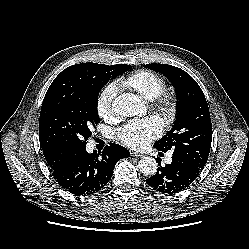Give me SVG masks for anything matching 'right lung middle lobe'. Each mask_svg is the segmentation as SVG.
Instances as JSON below:
<instances>
[{
  "label": "right lung middle lobe",
  "instance_id": "obj_1",
  "mask_svg": "<svg viewBox=\"0 0 249 249\" xmlns=\"http://www.w3.org/2000/svg\"><path fill=\"white\" fill-rule=\"evenodd\" d=\"M96 66V77L68 67L54 79L41 107V147L74 154L86 148L91 130L100 120L97 111L100 89L110 79L131 68L126 64L108 66L96 63Z\"/></svg>",
  "mask_w": 249,
  "mask_h": 249
}]
</instances>
